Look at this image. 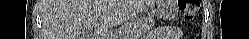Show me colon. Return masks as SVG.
Here are the masks:
<instances>
[{
	"label": "colon",
	"mask_w": 249,
	"mask_h": 39,
	"mask_svg": "<svg viewBox=\"0 0 249 39\" xmlns=\"http://www.w3.org/2000/svg\"><path fill=\"white\" fill-rule=\"evenodd\" d=\"M180 9L183 12L184 19L192 21L199 12V4L197 0H181Z\"/></svg>",
	"instance_id": "5ec220e1"
}]
</instances>
